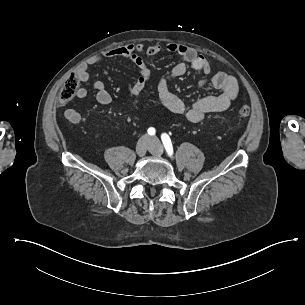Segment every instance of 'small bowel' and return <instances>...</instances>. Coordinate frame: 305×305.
<instances>
[{
  "instance_id": "obj_1",
  "label": "small bowel",
  "mask_w": 305,
  "mask_h": 305,
  "mask_svg": "<svg viewBox=\"0 0 305 305\" xmlns=\"http://www.w3.org/2000/svg\"><path fill=\"white\" fill-rule=\"evenodd\" d=\"M166 50L180 56L183 62L174 65L171 70L164 75L157 84V99L159 103L170 112L184 116L190 123H199L209 113L221 112L228 109L237 96L238 85L236 79L222 71L212 72V68L206 57L199 54L195 49L174 42L164 45L153 44L144 46L142 43H132L124 46L109 49L102 54L89 57L82 63L76 71L78 82H88L90 80L89 67L110 58H126L131 62L137 71L136 81L128 87V93L142 94L150 79L151 71L146 61V57H153L161 51ZM188 65L209 76V84L220 91L216 96H205L196 100L192 105L187 106L178 95L173 93L170 82L186 74ZM206 83H203L205 85ZM92 88L96 92V99L101 105H109L112 101L111 94L106 90L102 81L92 83ZM87 90L79 87L75 96L77 100L87 97ZM65 118L78 124L81 121L80 114L73 108H68L64 112Z\"/></svg>"
}]
</instances>
